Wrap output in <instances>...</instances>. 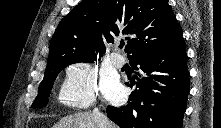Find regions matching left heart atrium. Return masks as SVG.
<instances>
[{
    "label": "left heart atrium",
    "instance_id": "1",
    "mask_svg": "<svg viewBox=\"0 0 221 128\" xmlns=\"http://www.w3.org/2000/svg\"><path fill=\"white\" fill-rule=\"evenodd\" d=\"M105 95L114 101H118L123 97V89L115 81L114 77H105L102 81Z\"/></svg>",
    "mask_w": 221,
    "mask_h": 128
}]
</instances>
